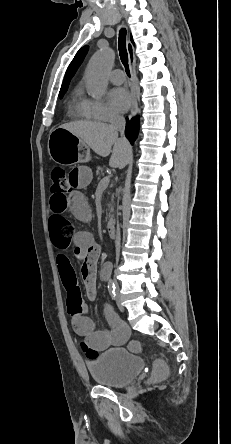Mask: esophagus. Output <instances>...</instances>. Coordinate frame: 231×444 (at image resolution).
Returning <instances> with one entry per match:
<instances>
[{
  "label": "esophagus",
  "instance_id": "esophagus-1",
  "mask_svg": "<svg viewBox=\"0 0 231 444\" xmlns=\"http://www.w3.org/2000/svg\"><path fill=\"white\" fill-rule=\"evenodd\" d=\"M127 52L129 57V65L131 68L134 67L135 57H134V49L130 41H127ZM132 107L130 111L129 117H133L138 112V96L135 88H132Z\"/></svg>",
  "mask_w": 231,
  "mask_h": 444
}]
</instances>
